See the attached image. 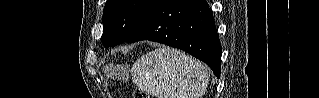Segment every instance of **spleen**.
I'll list each match as a JSON object with an SVG mask.
<instances>
[{"mask_svg":"<svg viewBox=\"0 0 319 98\" xmlns=\"http://www.w3.org/2000/svg\"><path fill=\"white\" fill-rule=\"evenodd\" d=\"M132 81L156 98H199L206 90L208 72L194 58L171 48H158L137 60Z\"/></svg>","mask_w":319,"mask_h":98,"instance_id":"obj_1","label":"spleen"}]
</instances>
